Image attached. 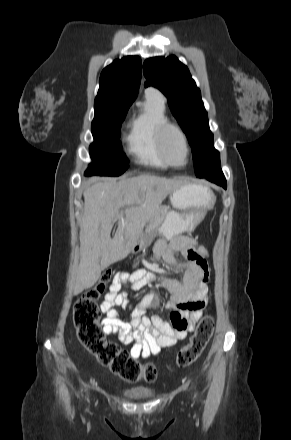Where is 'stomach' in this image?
<instances>
[{
    "label": "stomach",
    "instance_id": "stomach-1",
    "mask_svg": "<svg viewBox=\"0 0 291 440\" xmlns=\"http://www.w3.org/2000/svg\"><path fill=\"white\" fill-rule=\"evenodd\" d=\"M170 201L175 211L166 215L160 228L165 237L194 228L214 207L216 196L206 185L184 182L170 193ZM149 240V237H145L142 245Z\"/></svg>",
    "mask_w": 291,
    "mask_h": 440
}]
</instances>
